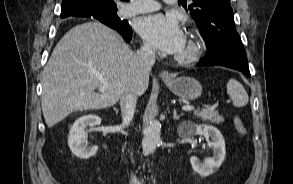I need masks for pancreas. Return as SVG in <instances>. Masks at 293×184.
Instances as JSON below:
<instances>
[{"label": "pancreas", "mask_w": 293, "mask_h": 184, "mask_svg": "<svg viewBox=\"0 0 293 184\" xmlns=\"http://www.w3.org/2000/svg\"><path fill=\"white\" fill-rule=\"evenodd\" d=\"M194 115L201 118L203 121H211L212 123H222L224 118L219 115L214 109H203L202 111H194Z\"/></svg>", "instance_id": "1"}]
</instances>
